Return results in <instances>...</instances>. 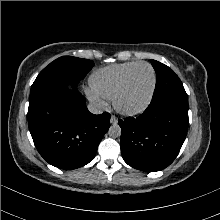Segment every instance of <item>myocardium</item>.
Segmentation results:
<instances>
[{
  "mask_svg": "<svg viewBox=\"0 0 220 220\" xmlns=\"http://www.w3.org/2000/svg\"><path fill=\"white\" fill-rule=\"evenodd\" d=\"M140 66H147L151 69V72H152V86H151L150 92H149L146 100L140 106H138L136 108H133V109H126V108L121 106L120 99H121L122 95L124 94V92H125V90L128 86V83H129V80H130L132 74ZM156 83H157V75H156V71H155L154 67L150 63H147V62L137 63L125 75V77L123 78L120 86L118 87L117 91L115 92V94L113 96L112 102H113V106H114L115 110L118 113H120L121 115L128 116V117H133V116L140 115L150 105V103L153 99V96H154L155 89H156Z\"/></svg>",
  "mask_w": 220,
  "mask_h": 220,
  "instance_id": "f54148a6",
  "label": "myocardium"
}]
</instances>
